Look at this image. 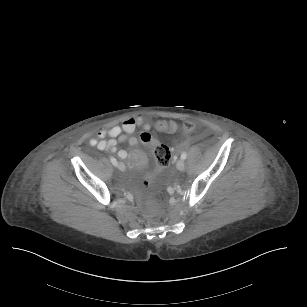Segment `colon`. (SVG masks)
Returning <instances> with one entry per match:
<instances>
[{
	"mask_svg": "<svg viewBox=\"0 0 307 307\" xmlns=\"http://www.w3.org/2000/svg\"><path fill=\"white\" fill-rule=\"evenodd\" d=\"M154 128L159 133H173L177 130L178 125L173 120L160 119L154 125ZM194 130V122L191 120H185L182 123V131L185 134L191 133ZM140 139L151 145L153 148V155L157 162V170L150 171L149 176H145L142 178V185L144 188H149L151 183L157 180L162 176L166 168L169 166L170 161L172 159V150L170 147L165 145L164 143L159 142L156 137H153L150 131L145 130L140 134Z\"/></svg>",
	"mask_w": 307,
	"mask_h": 307,
	"instance_id": "colon-1",
	"label": "colon"
}]
</instances>
